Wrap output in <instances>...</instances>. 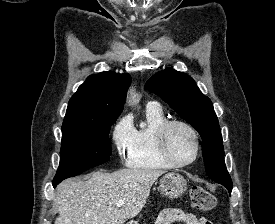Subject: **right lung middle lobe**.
I'll use <instances>...</instances> for the list:
<instances>
[{
  "label": "right lung middle lobe",
  "instance_id": "1",
  "mask_svg": "<svg viewBox=\"0 0 275 224\" xmlns=\"http://www.w3.org/2000/svg\"><path fill=\"white\" fill-rule=\"evenodd\" d=\"M116 119L63 124L60 165L53 182H61L108 161L109 131Z\"/></svg>",
  "mask_w": 275,
  "mask_h": 224
}]
</instances>
